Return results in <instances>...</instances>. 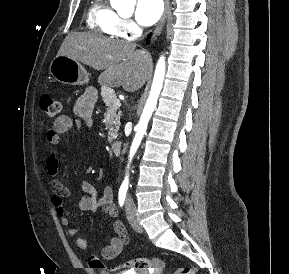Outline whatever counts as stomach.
Here are the masks:
<instances>
[{
	"instance_id": "1",
	"label": "stomach",
	"mask_w": 289,
	"mask_h": 274,
	"mask_svg": "<svg viewBox=\"0 0 289 274\" xmlns=\"http://www.w3.org/2000/svg\"><path fill=\"white\" fill-rule=\"evenodd\" d=\"M49 73L55 80L64 84L84 85L89 81L85 68L78 61L65 55H57L51 61Z\"/></svg>"
}]
</instances>
